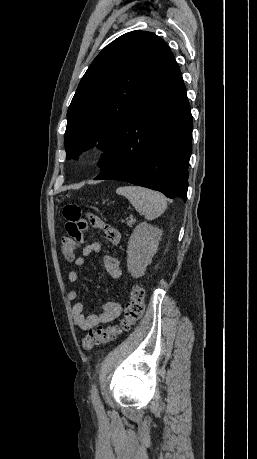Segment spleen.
I'll return each mask as SVG.
<instances>
[{"instance_id": "1", "label": "spleen", "mask_w": 257, "mask_h": 459, "mask_svg": "<svg viewBox=\"0 0 257 459\" xmlns=\"http://www.w3.org/2000/svg\"><path fill=\"white\" fill-rule=\"evenodd\" d=\"M125 196L137 212L143 213L147 220L159 217L167 208V201L160 192L141 186H122L116 190Z\"/></svg>"}]
</instances>
